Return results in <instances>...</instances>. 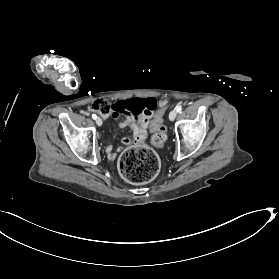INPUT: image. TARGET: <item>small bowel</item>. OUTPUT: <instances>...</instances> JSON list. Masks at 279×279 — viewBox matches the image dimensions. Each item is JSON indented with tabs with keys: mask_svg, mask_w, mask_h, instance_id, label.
<instances>
[{
	"mask_svg": "<svg viewBox=\"0 0 279 279\" xmlns=\"http://www.w3.org/2000/svg\"><path fill=\"white\" fill-rule=\"evenodd\" d=\"M117 116L118 113H113ZM152 116L151 112L144 113L137 116H127L120 122L121 128H130L132 131L131 137H126L121 140L123 146H130L143 143L147 136V129L149 121ZM122 150V146H118L116 151L113 150V146L110 144L106 148L109 159L113 160L116 158L117 153Z\"/></svg>",
	"mask_w": 279,
	"mask_h": 279,
	"instance_id": "c3829d8e",
	"label": "small bowel"
}]
</instances>
